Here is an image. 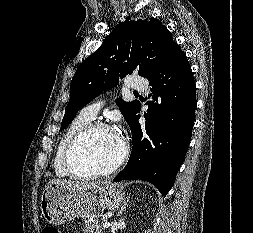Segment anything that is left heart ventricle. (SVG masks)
Masks as SVG:
<instances>
[{
    "label": "left heart ventricle",
    "instance_id": "b2bd125f",
    "mask_svg": "<svg viewBox=\"0 0 253 233\" xmlns=\"http://www.w3.org/2000/svg\"><path fill=\"white\" fill-rule=\"evenodd\" d=\"M121 149L122 139L112 129L99 130L78 147L73 162L82 172L103 170L117 160Z\"/></svg>",
    "mask_w": 253,
    "mask_h": 233
}]
</instances>
